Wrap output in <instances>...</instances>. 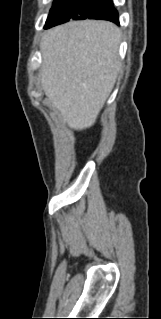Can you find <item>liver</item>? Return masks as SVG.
<instances>
[{
    "label": "liver",
    "instance_id": "liver-1",
    "mask_svg": "<svg viewBox=\"0 0 161 319\" xmlns=\"http://www.w3.org/2000/svg\"><path fill=\"white\" fill-rule=\"evenodd\" d=\"M120 40L108 21H70L44 33L42 87L71 129L95 123L121 71Z\"/></svg>",
    "mask_w": 161,
    "mask_h": 319
}]
</instances>
